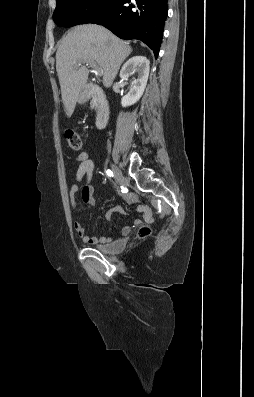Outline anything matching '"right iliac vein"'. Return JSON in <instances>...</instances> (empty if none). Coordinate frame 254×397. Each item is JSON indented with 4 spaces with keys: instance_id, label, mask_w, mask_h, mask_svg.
<instances>
[{
    "instance_id": "1",
    "label": "right iliac vein",
    "mask_w": 254,
    "mask_h": 397,
    "mask_svg": "<svg viewBox=\"0 0 254 397\" xmlns=\"http://www.w3.org/2000/svg\"><path fill=\"white\" fill-rule=\"evenodd\" d=\"M112 171L114 173V177H115V180H116L117 184L118 185H124L125 178H124L122 172L120 171V169L117 166L112 165Z\"/></svg>"
}]
</instances>
